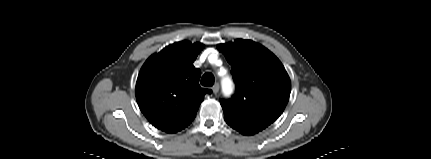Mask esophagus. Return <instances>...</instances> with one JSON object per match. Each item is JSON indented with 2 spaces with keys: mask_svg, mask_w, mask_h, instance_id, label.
<instances>
[{
  "mask_svg": "<svg viewBox=\"0 0 431 159\" xmlns=\"http://www.w3.org/2000/svg\"><path fill=\"white\" fill-rule=\"evenodd\" d=\"M218 91H219V84L217 83L212 87V93L217 94Z\"/></svg>",
  "mask_w": 431,
  "mask_h": 159,
  "instance_id": "obj_1",
  "label": "esophagus"
}]
</instances>
